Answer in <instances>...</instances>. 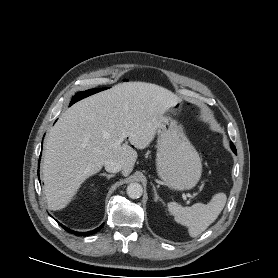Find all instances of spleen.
I'll return each mask as SVG.
<instances>
[{"instance_id": "1", "label": "spleen", "mask_w": 278, "mask_h": 278, "mask_svg": "<svg viewBox=\"0 0 278 278\" xmlns=\"http://www.w3.org/2000/svg\"><path fill=\"white\" fill-rule=\"evenodd\" d=\"M227 197L224 193L215 194L207 205L197 203L191 207H183L177 202L168 203V211L176 222L188 227L191 237H196L213 223L223 210Z\"/></svg>"}]
</instances>
